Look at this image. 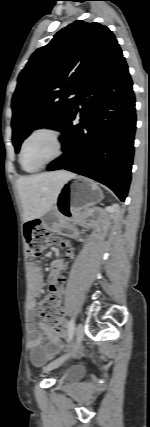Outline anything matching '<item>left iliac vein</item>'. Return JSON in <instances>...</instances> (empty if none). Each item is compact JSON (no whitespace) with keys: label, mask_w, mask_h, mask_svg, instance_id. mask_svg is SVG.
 Masks as SVG:
<instances>
[{"label":"left iliac vein","mask_w":150,"mask_h":427,"mask_svg":"<svg viewBox=\"0 0 150 427\" xmlns=\"http://www.w3.org/2000/svg\"><path fill=\"white\" fill-rule=\"evenodd\" d=\"M83 336H84V327H83V324L79 323L75 330V343L79 344L83 339ZM68 357H69V354L61 356L60 358L56 359L55 361L47 365L44 368V371L48 372L59 367Z\"/></svg>","instance_id":"left-iliac-vein-1"}]
</instances>
